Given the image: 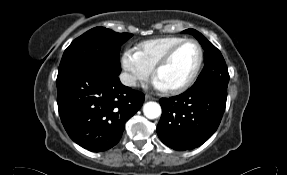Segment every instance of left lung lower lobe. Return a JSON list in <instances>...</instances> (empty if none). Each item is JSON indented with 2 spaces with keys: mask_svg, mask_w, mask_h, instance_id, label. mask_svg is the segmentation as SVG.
<instances>
[{
  "mask_svg": "<svg viewBox=\"0 0 287 175\" xmlns=\"http://www.w3.org/2000/svg\"><path fill=\"white\" fill-rule=\"evenodd\" d=\"M227 100V89L207 86L160 99L162 116L157 126L160 140L168 147L191 150L217 130Z\"/></svg>",
  "mask_w": 287,
  "mask_h": 175,
  "instance_id": "obj_1",
  "label": "left lung lower lobe"
}]
</instances>
